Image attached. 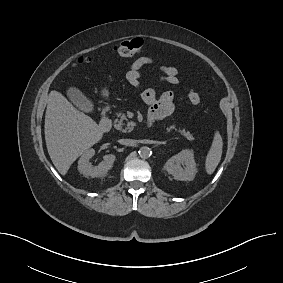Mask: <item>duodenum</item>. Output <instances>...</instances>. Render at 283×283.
<instances>
[{"instance_id": "1", "label": "duodenum", "mask_w": 283, "mask_h": 283, "mask_svg": "<svg viewBox=\"0 0 283 283\" xmlns=\"http://www.w3.org/2000/svg\"><path fill=\"white\" fill-rule=\"evenodd\" d=\"M111 126H112V122L109 116V110L104 109L98 125L99 130L101 132H108L111 129Z\"/></svg>"}]
</instances>
